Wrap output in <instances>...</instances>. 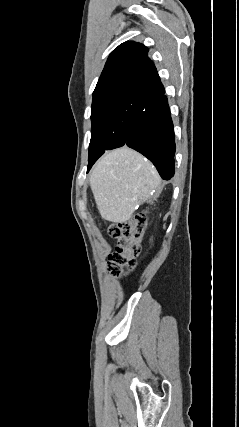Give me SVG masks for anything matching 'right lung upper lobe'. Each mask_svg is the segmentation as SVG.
Wrapping results in <instances>:
<instances>
[{
	"mask_svg": "<svg viewBox=\"0 0 239 427\" xmlns=\"http://www.w3.org/2000/svg\"><path fill=\"white\" fill-rule=\"evenodd\" d=\"M148 48L128 41L119 45L109 56L93 92V103L125 97L150 98L164 92V87Z\"/></svg>",
	"mask_w": 239,
	"mask_h": 427,
	"instance_id": "cb5924a9",
	"label": "right lung upper lobe"
}]
</instances>
